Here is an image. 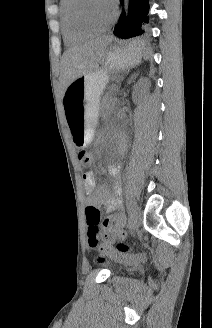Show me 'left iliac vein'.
Here are the masks:
<instances>
[{"label":"left iliac vein","instance_id":"left-iliac-vein-1","mask_svg":"<svg viewBox=\"0 0 212 328\" xmlns=\"http://www.w3.org/2000/svg\"><path fill=\"white\" fill-rule=\"evenodd\" d=\"M142 216L138 209H134L130 219V231L133 233L141 224Z\"/></svg>","mask_w":212,"mask_h":328}]
</instances>
